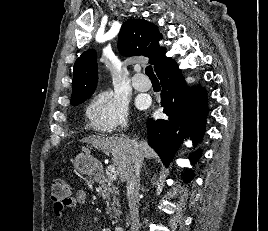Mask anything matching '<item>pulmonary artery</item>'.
I'll return each instance as SVG.
<instances>
[{
    "instance_id": "1",
    "label": "pulmonary artery",
    "mask_w": 268,
    "mask_h": 231,
    "mask_svg": "<svg viewBox=\"0 0 268 231\" xmlns=\"http://www.w3.org/2000/svg\"><path fill=\"white\" fill-rule=\"evenodd\" d=\"M132 85L139 92H146L151 88L150 80L140 73L132 79Z\"/></svg>"
}]
</instances>
